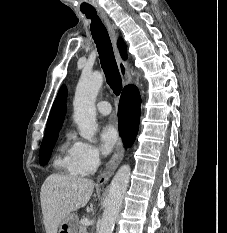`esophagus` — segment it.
Returning <instances> with one entry per match:
<instances>
[{
  "mask_svg": "<svg viewBox=\"0 0 227 233\" xmlns=\"http://www.w3.org/2000/svg\"><path fill=\"white\" fill-rule=\"evenodd\" d=\"M99 13L104 20L107 29L109 31L113 46H114V52L119 68V72L121 74V77L124 81V83H130L131 82V76L128 71V65L127 62L124 61L119 53V50L117 48V33L115 31V28L113 27L110 19L108 18L107 14L103 10H99ZM124 156V148L122 146V143H120L112 156L111 160L109 161L105 171L98 177V184L103 185L105 184L109 178L112 176L116 168L118 167L119 163L121 162L122 158Z\"/></svg>",
  "mask_w": 227,
  "mask_h": 233,
  "instance_id": "1",
  "label": "esophagus"
}]
</instances>
